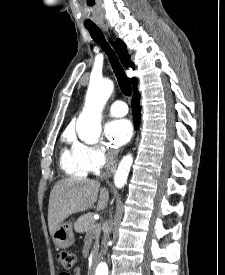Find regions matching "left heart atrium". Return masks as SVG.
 <instances>
[{
    "label": "left heart atrium",
    "instance_id": "obj_1",
    "mask_svg": "<svg viewBox=\"0 0 225 275\" xmlns=\"http://www.w3.org/2000/svg\"><path fill=\"white\" fill-rule=\"evenodd\" d=\"M105 132L114 145L121 146L131 138L132 125L127 119L112 120L106 125Z\"/></svg>",
    "mask_w": 225,
    "mask_h": 275
}]
</instances>
